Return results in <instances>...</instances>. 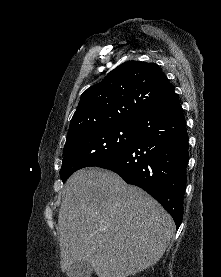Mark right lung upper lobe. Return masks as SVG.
<instances>
[{
	"instance_id": "1",
	"label": "right lung upper lobe",
	"mask_w": 221,
	"mask_h": 277,
	"mask_svg": "<svg viewBox=\"0 0 221 277\" xmlns=\"http://www.w3.org/2000/svg\"><path fill=\"white\" fill-rule=\"evenodd\" d=\"M174 93L169 80L155 63L125 62L81 95L67 139L97 126L135 123Z\"/></svg>"
}]
</instances>
